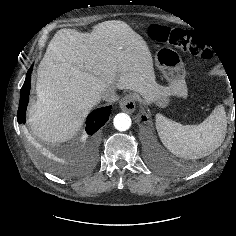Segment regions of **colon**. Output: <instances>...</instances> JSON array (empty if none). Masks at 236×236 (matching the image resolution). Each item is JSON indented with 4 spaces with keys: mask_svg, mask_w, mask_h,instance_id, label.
I'll use <instances>...</instances> for the list:
<instances>
[{
    "mask_svg": "<svg viewBox=\"0 0 236 236\" xmlns=\"http://www.w3.org/2000/svg\"><path fill=\"white\" fill-rule=\"evenodd\" d=\"M148 32L154 40L187 51L205 61H209L212 58L210 48L197 35L190 31L153 24L149 27Z\"/></svg>",
    "mask_w": 236,
    "mask_h": 236,
    "instance_id": "obj_1",
    "label": "colon"
}]
</instances>
